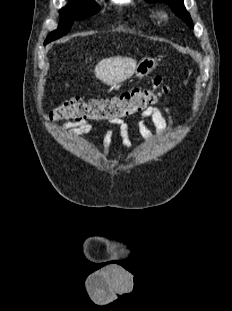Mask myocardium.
Listing matches in <instances>:
<instances>
[{
  "label": "myocardium",
  "mask_w": 232,
  "mask_h": 311,
  "mask_svg": "<svg viewBox=\"0 0 232 311\" xmlns=\"http://www.w3.org/2000/svg\"><path fill=\"white\" fill-rule=\"evenodd\" d=\"M160 16L161 17H166V14L162 11V12H160Z\"/></svg>",
  "instance_id": "1"
}]
</instances>
